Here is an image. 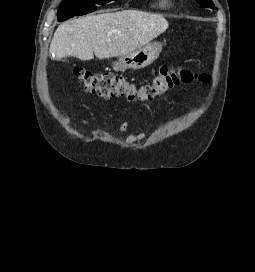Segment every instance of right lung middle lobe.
I'll list each match as a JSON object with an SVG mask.
<instances>
[{
  "instance_id": "1",
  "label": "right lung middle lobe",
  "mask_w": 255,
  "mask_h": 272,
  "mask_svg": "<svg viewBox=\"0 0 255 272\" xmlns=\"http://www.w3.org/2000/svg\"><path fill=\"white\" fill-rule=\"evenodd\" d=\"M113 0H63L58 9V21L62 22L74 16L91 13L97 9L96 4L105 5Z\"/></svg>"
}]
</instances>
